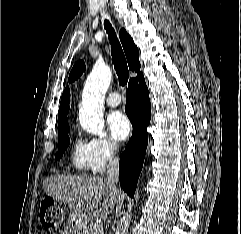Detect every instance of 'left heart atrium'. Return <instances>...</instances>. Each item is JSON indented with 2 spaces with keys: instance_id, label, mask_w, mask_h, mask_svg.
Returning <instances> with one entry per match:
<instances>
[{
  "instance_id": "left-heart-atrium-1",
  "label": "left heart atrium",
  "mask_w": 241,
  "mask_h": 234,
  "mask_svg": "<svg viewBox=\"0 0 241 234\" xmlns=\"http://www.w3.org/2000/svg\"><path fill=\"white\" fill-rule=\"evenodd\" d=\"M108 127L112 136L119 141L125 140L132 128L128 117L120 111H114L109 115Z\"/></svg>"
}]
</instances>
